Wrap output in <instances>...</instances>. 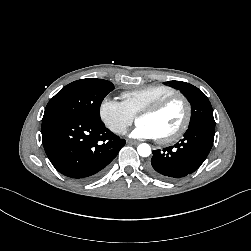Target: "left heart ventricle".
Returning a JSON list of instances; mask_svg holds the SVG:
<instances>
[{
  "instance_id": "b2bd125f",
  "label": "left heart ventricle",
  "mask_w": 251,
  "mask_h": 251,
  "mask_svg": "<svg viewBox=\"0 0 251 251\" xmlns=\"http://www.w3.org/2000/svg\"><path fill=\"white\" fill-rule=\"evenodd\" d=\"M184 115V104L180 100H176L158 114L140 117L138 122L149 125L157 137H164L180 127Z\"/></svg>"
}]
</instances>
